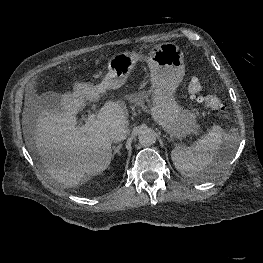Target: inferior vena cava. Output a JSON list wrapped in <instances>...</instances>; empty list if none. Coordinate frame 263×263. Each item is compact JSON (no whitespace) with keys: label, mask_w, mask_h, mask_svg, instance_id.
Masks as SVG:
<instances>
[{"label":"inferior vena cava","mask_w":263,"mask_h":263,"mask_svg":"<svg viewBox=\"0 0 263 263\" xmlns=\"http://www.w3.org/2000/svg\"><path fill=\"white\" fill-rule=\"evenodd\" d=\"M127 130L123 126L113 127L109 132V138L112 142H121L126 139Z\"/></svg>","instance_id":"602c4592"}]
</instances>
